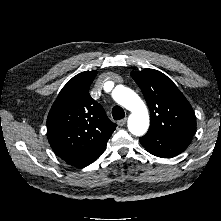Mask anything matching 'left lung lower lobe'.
Instances as JSON below:
<instances>
[{
  "mask_svg": "<svg viewBox=\"0 0 221 221\" xmlns=\"http://www.w3.org/2000/svg\"><path fill=\"white\" fill-rule=\"evenodd\" d=\"M191 139L189 137H168L148 131L139 141L149 153L162 158H172L183 152Z\"/></svg>",
  "mask_w": 221,
  "mask_h": 221,
  "instance_id": "obj_1",
  "label": "left lung lower lobe"
}]
</instances>
